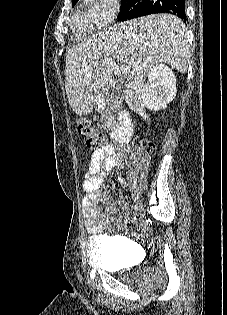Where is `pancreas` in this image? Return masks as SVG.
Instances as JSON below:
<instances>
[{
  "label": "pancreas",
  "instance_id": "cf45deb5",
  "mask_svg": "<svg viewBox=\"0 0 227 315\" xmlns=\"http://www.w3.org/2000/svg\"><path fill=\"white\" fill-rule=\"evenodd\" d=\"M101 119L105 125L110 126V111L107 109L102 110Z\"/></svg>",
  "mask_w": 227,
  "mask_h": 315
}]
</instances>
